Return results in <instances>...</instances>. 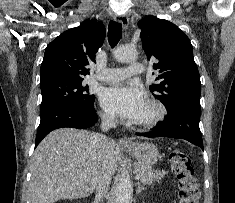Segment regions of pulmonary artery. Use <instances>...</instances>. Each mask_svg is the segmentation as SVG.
<instances>
[{
    "label": "pulmonary artery",
    "mask_w": 235,
    "mask_h": 203,
    "mask_svg": "<svg viewBox=\"0 0 235 203\" xmlns=\"http://www.w3.org/2000/svg\"><path fill=\"white\" fill-rule=\"evenodd\" d=\"M144 67L140 63H131L126 68H106L96 78L103 82H119L130 76L139 75L143 72Z\"/></svg>",
    "instance_id": "obj_1"
}]
</instances>
